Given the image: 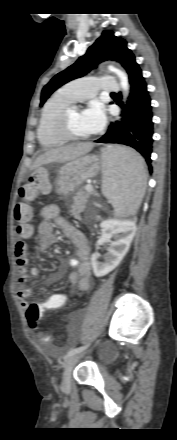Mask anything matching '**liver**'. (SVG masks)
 Segmentation results:
<instances>
[{
  "mask_svg": "<svg viewBox=\"0 0 177 440\" xmlns=\"http://www.w3.org/2000/svg\"><path fill=\"white\" fill-rule=\"evenodd\" d=\"M93 148L92 143H75L55 149H50L40 155L34 162L31 167V170L36 169L37 167L52 163H64L67 161L74 160L78 157H81L87 153H89Z\"/></svg>",
  "mask_w": 177,
  "mask_h": 440,
  "instance_id": "1",
  "label": "liver"
}]
</instances>
